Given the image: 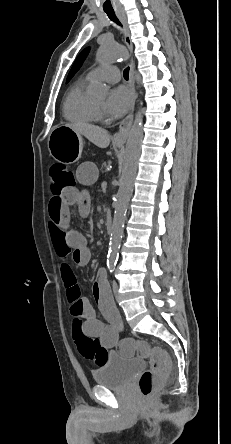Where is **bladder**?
Masks as SVG:
<instances>
[{"label": "bladder", "mask_w": 231, "mask_h": 444, "mask_svg": "<svg viewBox=\"0 0 231 444\" xmlns=\"http://www.w3.org/2000/svg\"><path fill=\"white\" fill-rule=\"evenodd\" d=\"M143 368L144 363L141 359H126L118 352L112 351L107 355L105 362L93 371V378L99 386L120 389Z\"/></svg>", "instance_id": "31cf9c89"}]
</instances>
